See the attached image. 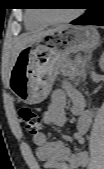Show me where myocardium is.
Here are the masks:
<instances>
[{
    "label": "myocardium",
    "instance_id": "1",
    "mask_svg": "<svg viewBox=\"0 0 104 169\" xmlns=\"http://www.w3.org/2000/svg\"><path fill=\"white\" fill-rule=\"evenodd\" d=\"M78 16V12L75 11L72 14L62 17V18H50L46 15H40L39 17L45 21L46 23H52V24H58V23H66V22H70L73 19H75Z\"/></svg>",
    "mask_w": 104,
    "mask_h": 169
}]
</instances>
